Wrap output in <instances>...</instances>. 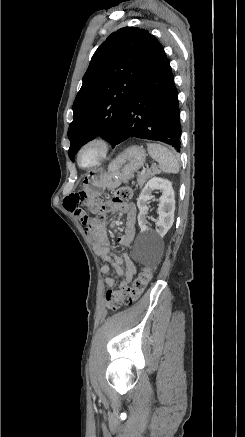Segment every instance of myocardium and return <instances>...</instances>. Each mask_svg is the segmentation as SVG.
Returning a JSON list of instances; mask_svg holds the SVG:
<instances>
[{"mask_svg":"<svg viewBox=\"0 0 245 437\" xmlns=\"http://www.w3.org/2000/svg\"><path fill=\"white\" fill-rule=\"evenodd\" d=\"M90 147H94L97 149V157L95 158V160L88 164V165H83L81 163V155L83 153L84 150H86L87 148ZM111 149V144L109 142V140L103 136H95L92 137L88 140H86L84 143L81 144V146L79 147V149L77 150L76 153V161L77 164L83 168V169H91L94 168L98 165H100L108 156L109 152Z\"/></svg>","mask_w":245,"mask_h":437,"instance_id":"obj_1","label":"myocardium"}]
</instances>
